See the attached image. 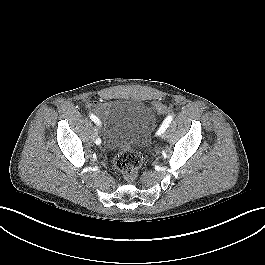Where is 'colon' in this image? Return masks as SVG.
Listing matches in <instances>:
<instances>
[{"label": "colon", "instance_id": "5ec220e1", "mask_svg": "<svg viewBox=\"0 0 265 265\" xmlns=\"http://www.w3.org/2000/svg\"><path fill=\"white\" fill-rule=\"evenodd\" d=\"M153 108L158 113H166L168 110L167 106L163 104H154ZM142 161L143 156L140 152L135 149H126L116 154L114 165L128 182H134L138 177Z\"/></svg>", "mask_w": 265, "mask_h": 265}]
</instances>
